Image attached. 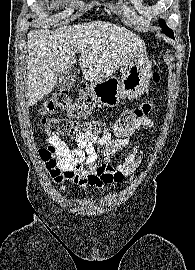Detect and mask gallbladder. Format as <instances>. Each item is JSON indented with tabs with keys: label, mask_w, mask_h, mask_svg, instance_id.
<instances>
[{
	"label": "gallbladder",
	"mask_w": 195,
	"mask_h": 270,
	"mask_svg": "<svg viewBox=\"0 0 195 270\" xmlns=\"http://www.w3.org/2000/svg\"><path fill=\"white\" fill-rule=\"evenodd\" d=\"M75 78L76 73L73 69L59 72L55 84L56 89L61 91L70 90L74 86Z\"/></svg>",
	"instance_id": "obj_1"
}]
</instances>
